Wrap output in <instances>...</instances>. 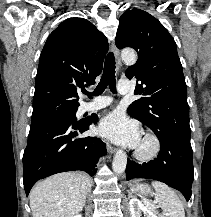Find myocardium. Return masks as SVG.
Here are the masks:
<instances>
[{"instance_id":"myocardium-1","label":"myocardium","mask_w":211,"mask_h":217,"mask_svg":"<svg viewBox=\"0 0 211 217\" xmlns=\"http://www.w3.org/2000/svg\"><path fill=\"white\" fill-rule=\"evenodd\" d=\"M142 141L147 142L148 147L146 149L138 147L134 153L135 157L144 162L155 159L161 151V142L157 135L147 132L144 134Z\"/></svg>"}]
</instances>
